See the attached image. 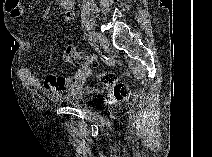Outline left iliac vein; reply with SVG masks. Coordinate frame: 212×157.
<instances>
[{
	"label": "left iliac vein",
	"mask_w": 212,
	"mask_h": 157,
	"mask_svg": "<svg viewBox=\"0 0 212 157\" xmlns=\"http://www.w3.org/2000/svg\"><path fill=\"white\" fill-rule=\"evenodd\" d=\"M94 35L96 37V40H98L99 43L101 44V46L104 49H107L108 48V40H107V38L103 34L98 33V32H94Z\"/></svg>",
	"instance_id": "obj_1"
}]
</instances>
